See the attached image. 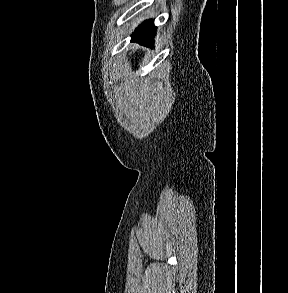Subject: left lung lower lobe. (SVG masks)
<instances>
[{"mask_svg":"<svg viewBox=\"0 0 288 293\" xmlns=\"http://www.w3.org/2000/svg\"><path fill=\"white\" fill-rule=\"evenodd\" d=\"M155 32L156 27L153 24V20H146L132 34L131 41H136L140 44L152 47Z\"/></svg>","mask_w":288,"mask_h":293,"instance_id":"obj_1","label":"left lung lower lobe"}]
</instances>
